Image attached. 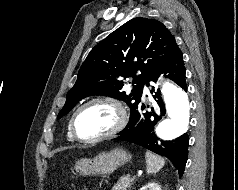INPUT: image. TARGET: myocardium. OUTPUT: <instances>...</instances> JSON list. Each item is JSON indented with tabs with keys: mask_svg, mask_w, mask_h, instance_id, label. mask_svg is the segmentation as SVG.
<instances>
[{
	"mask_svg": "<svg viewBox=\"0 0 238 190\" xmlns=\"http://www.w3.org/2000/svg\"><path fill=\"white\" fill-rule=\"evenodd\" d=\"M93 104H105V105L110 106L115 111L116 123L110 130H108L107 132H105L101 135H98L95 137H89V138L82 137L77 132L76 120L82 110H84L85 108H87L88 106H91ZM127 122H128L127 109L119 99L112 97V96H100V97H94V98L87 100L86 102L81 104L75 110V112L72 115L71 122H70V131H71L73 137L80 142L95 143V142H100V141L107 140V139L114 137L120 131H122L124 129Z\"/></svg>",
	"mask_w": 238,
	"mask_h": 190,
	"instance_id": "obj_1",
	"label": "myocardium"
}]
</instances>
